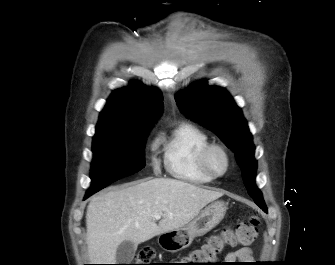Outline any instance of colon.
Here are the masks:
<instances>
[{
  "mask_svg": "<svg viewBox=\"0 0 335 265\" xmlns=\"http://www.w3.org/2000/svg\"><path fill=\"white\" fill-rule=\"evenodd\" d=\"M259 219L251 216L233 227H226L220 233L210 236L199 248L184 257L186 265H212L228 246L250 245L258 235ZM155 251L151 247L142 248L136 256V264L152 265Z\"/></svg>",
  "mask_w": 335,
  "mask_h": 265,
  "instance_id": "obj_1",
  "label": "colon"
}]
</instances>
